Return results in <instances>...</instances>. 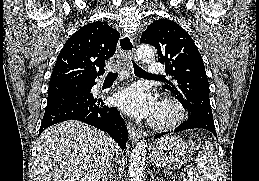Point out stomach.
I'll return each mask as SVG.
<instances>
[{"label": "stomach", "mask_w": 259, "mask_h": 181, "mask_svg": "<svg viewBox=\"0 0 259 181\" xmlns=\"http://www.w3.org/2000/svg\"><path fill=\"white\" fill-rule=\"evenodd\" d=\"M191 152L192 147L186 141L175 136H166L153 146L150 159L157 167L173 169L186 163Z\"/></svg>", "instance_id": "0dacf381"}]
</instances>
